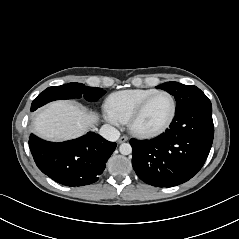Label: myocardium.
<instances>
[{"label":"myocardium","instance_id":"myocardium-1","mask_svg":"<svg viewBox=\"0 0 239 239\" xmlns=\"http://www.w3.org/2000/svg\"><path fill=\"white\" fill-rule=\"evenodd\" d=\"M158 95H167L168 97H170L171 101H172V112L170 117L168 118V120L162 124L161 126L154 128V129H143L138 127L137 125V121L139 119V117L141 116V114L143 113L144 109L146 108V106L148 105V103L155 98ZM177 114V102L175 97L168 91L165 90H158L154 93H152L151 95H149L148 97H146L144 100H142L137 107L133 110V112L131 113V115L129 116L127 122H128V128L129 130L140 137H154L157 136L163 132H165L173 123V121L175 120Z\"/></svg>","mask_w":239,"mask_h":239}]
</instances>
